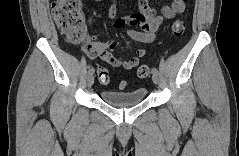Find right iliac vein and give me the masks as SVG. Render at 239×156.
<instances>
[{
	"label": "right iliac vein",
	"instance_id": "right-iliac-vein-1",
	"mask_svg": "<svg viewBox=\"0 0 239 156\" xmlns=\"http://www.w3.org/2000/svg\"><path fill=\"white\" fill-rule=\"evenodd\" d=\"M93 83H94V76H93V74H90L87 77V86L91 87L93 85Z\"/></svg>",
	"mask_w": 239,
	"mask_h": 156
}]
</instances>
